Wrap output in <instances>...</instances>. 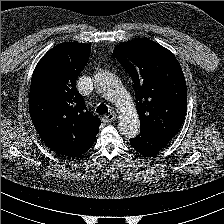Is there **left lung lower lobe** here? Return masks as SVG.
Returning <instances> with one entry per match:
<instances>
[{
  "label": "left lung lower lobe",
  "mask_w": 224,
  "mask_h": 224,
  "mask_svg": "<svg viewBox=\"0 0 224 224\" xmlns=\"http://www.w3.org/2000/svg\"><path fill=\"white\" fill-rule=\"evenodd\" d=\"M169 142L160 137L140 130V134L130 139L131 146L144 156H152L159 153Z\"/></svg>",
  "instance_id": "left-lung-lower-lobe-1"
}]
</instances>
